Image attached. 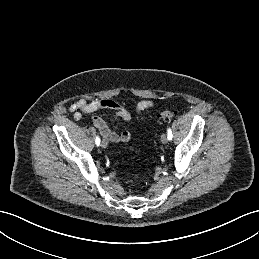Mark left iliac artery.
<instances>
[{"instance_id":"44dca946","label":"left iliac artery","mask_w":259,"mask_h":259,"mask_svg":"<svg viewBox=\"0 0 259 259\" xmlns=\"http://www.w3.org/2000/svg\"><path fill=\"white\" fill-rule=\"evenodd\" d=\"M167 137H168V140H172L173 135L170 128L167 129Z\"/></svg>"}]
</instances>
